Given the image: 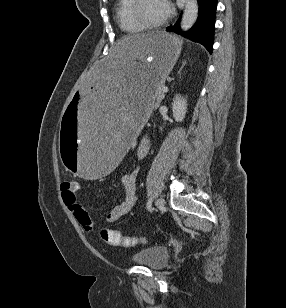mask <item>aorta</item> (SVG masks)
Wrapping results in <instances>:
<instances>
[{"label": "aorta", "mask_w": 286, "mask_h": 308, "mask_svg": "<svg viewBox=\"0 0 286 308\" xmlns=\"http://www.w3.org/2000/svg\"><path fill=\"white\" fill-rule=\"evenodd\" d=\"M198 2L197 0H186L181 19V30L188 31L196 22L198 17Z\"/></svg>", "instance_id": "obj_1"}]
</instances>
